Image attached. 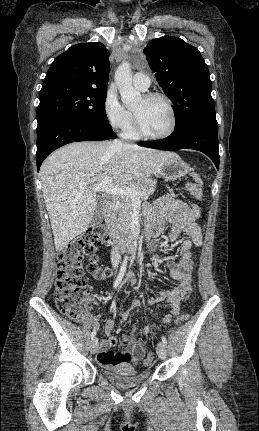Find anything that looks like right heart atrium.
I'll use <instances>...</instances> for the list:
<instances>
[{
    "label": "right heart atrium",
    "instance_id": "right-heart-atrium-1",
    "mask_svg": "<svg viewBox=\"0 0 259 431\" xmlns=\"http://www.w3.org/2000/svg\"><path fill=\"white\" fill-rule=\"evenodd\" d=\"M103 113L114 130L124 131L132 123V114L120 103L114 89H109L106 93Z\"/></svg>",
    "mask_w": 259,
    "mask_h": 431
}]
</instances>
